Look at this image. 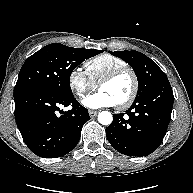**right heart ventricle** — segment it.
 Returning <instances> with one entry per match:
<instances>
[{"label": "right heart ventricle", "mask_w": 193, "mask_h": 193, "mask_svg": "<svg viewBox=\"0 0 193 193\" xmlns=\"http://www.w3.org/2000/svg\"><path fill=\"white\" fill-rule=\"evenodd\" d=\"M124 66H128L125 60L108 53L90 58L84 64L85 72L95 84L109 72Z\"/></svg>", "instance_id": "1"}]
</instances>
